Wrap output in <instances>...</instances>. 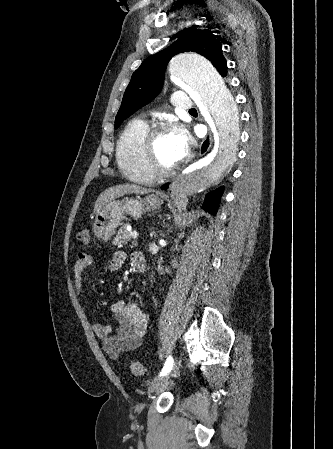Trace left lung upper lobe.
Returning <instances> with one entry per match:
<instances>
[{
  "label": "left lung upper lobe",
  "mask_w": 333,
  "mask_h": 449,
  "mask_svg": "<svg viewBox=\"0 0 333 449\" xmlns=\"http://www.w3.org/2000/svg\"><path fill=\"white\" fill-rule=\"evenodd\" d=\"M217 37L214 31L208 29H186L171 46L145 59L133 73L124 93L115 118V128L161 91L167 64L178 53H199L210 60L221 75H226L227 63Z\"/></svg>",
  "instance_id": "5c2ea615"
}]
</instances>
